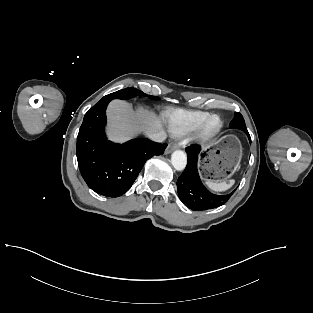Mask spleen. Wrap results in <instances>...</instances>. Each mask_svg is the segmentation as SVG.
<instances>
[{
  "instance_id": "1",
  "label": "spleen",
  "mask_w": 313,
  "mask_h": 313,
  "mask_svg": "<svg viewBox=\"0 0 313 313\" xmlns=\"http://www.w3.org/2000/svg\"><path fill=\"white\" fill-rule=\"evenodd\" d=\"M205 184L212 191L223 192V191L230 189L235 184V180L231 179V180L223 181V182L207 180Z\"/></svg>"
}]
</instances>
